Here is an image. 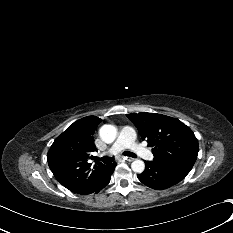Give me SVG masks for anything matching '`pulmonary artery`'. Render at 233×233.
<instances>
[{"mask_svg": "<svg viewBox=\"0 0 233 233\" xmlns=\"http://www.w3.org/2000/svg\"><path fill=\"white\" fill-rule=\"evenodd\" d=\"M125 149H130L142 158L151 160L152 153L136 141V132L131 126H125L121 129L119 138L109 149V153L116 155Z\"/></svg>", "mask_w": 233, "mask_h": 233, "instance_id": "obj_1", "label": "pulmonary artery"}]
</instances>
